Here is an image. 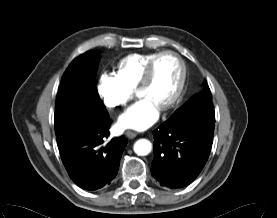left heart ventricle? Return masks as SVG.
Here are the masks:
<instances>
[{"mask_svg":"<svg viewBox=\"0 0 277 218\" xmlns=\"http://www.w3.org/2000/svg\"><path fill=\"white\" fill-rule=\"evenodd\" d=\"M181 68L173 56H164L155 65L150 84L141 89V97L151 99L161 108L174 94L180 80Z\"/></svg>","mask_w":277,"mask_h":218,"instance_id":"1","label":"left heart ventricle"}]
</instances>
